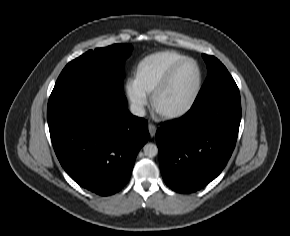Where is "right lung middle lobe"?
<instances>
[{
	"instance_id": "dd1d6c3e",
	"label": "right lung middle lobe",
	"mask_w": 290,
	"mask_h": 236,
	"mask_svg": "<svg viewBox=\"0 0 290 236\" xmlns=\"http://www.w3.org/2000/svg\"><path fill=\"white\" fill-rule=\"evenodd\" d=\"M131 51L132 45L127 44L89 50L65 66L51 96L93 97L121 93L123 64Z\"/></svg>"
}]
</instances>
